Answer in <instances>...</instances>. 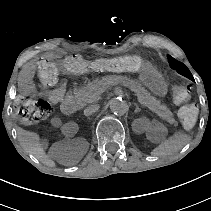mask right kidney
<instances>
[{
  "instance_id": "ca27d5eb",
  "label": "right kidney",
  "mask_w": 211,
  "mask_h": 211,
  "mask_svg": "<svg viewBox=\"0 0 211 211\" xmlns=\"http://www.w3.org/2000/svg\"><path fill=\"white\" fill-rule=\"evenodd\" d=\"M49 127L53 131H57V135L61 139H68L79 130L78 125L75 122L71 121L64 124V120L60 116H53L49 120Z\"/></svg>"
}]
</instances>
